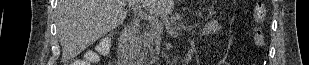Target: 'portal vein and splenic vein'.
Wrapping results in <instances>:
<instances>
[{"label": "portal vein and splenic vein", "mask_w": 309, "mask_h": 65, "mask_svg": "<svg viewBox=\"0 0 309 65\" xmlns=\"http://www.w3.org/2000/svg\"><path fill=\"white\" fill-rule=\"evenodd\" d=\"M132 10H133L135 15L147 20L155 28L160 29L162 27V23L152 13L148 14V13L144 12L141 9L140 4H135L132 7Z\"/></svg>", "instance_id": "1"}]
</instances>
